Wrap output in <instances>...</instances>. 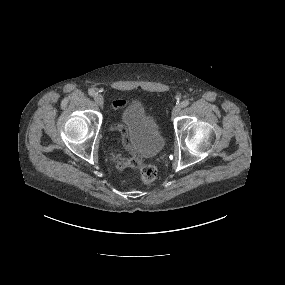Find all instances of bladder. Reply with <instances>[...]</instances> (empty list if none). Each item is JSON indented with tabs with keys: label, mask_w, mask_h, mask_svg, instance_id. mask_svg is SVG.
<instances>
[{
	"label": "bladder",
	"mask_w": 285,
	"mask_h": 285,
	"mask_svg": "<svg viewBox=\"0 0 285 285\" xmlns=\"http://www.w3.org/2000/svg\"><path fill=\"white\" fill-rule=\"evenodd\" d=\"M121 124L126 129L130 149L143 156H153L162 149L164 137L141 102L134 101L123 110Z\"/></svg>",
	"instance_id": "1"
}]
</instances>
